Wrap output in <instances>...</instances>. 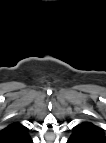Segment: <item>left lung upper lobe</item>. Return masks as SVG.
<instances>
[{"instance_id": "obj_1", "label": "left lung upper lobe", "mask_w": 106, "mask_h": 143, "mask_svg": "<svg viewBox=\"0 0 106 143\" xmlns=\"http://www.w3.org/2000/svg\"><path fill=\"white\" fill-rule=\"evenodd\" d=\"M72 135L78 137L82 143H105L103 129L90 122H83L74 127Z\"/></svg>"}]
</instances>
